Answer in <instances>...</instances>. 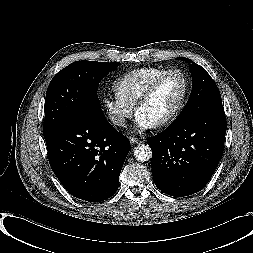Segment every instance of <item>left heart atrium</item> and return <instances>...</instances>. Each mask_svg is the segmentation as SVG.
Here are the masks:
<instances>
[{
  "label": "left heart atrium",
  "instance_id": "1",
  "mask_svg": "<svg viewBox=\"0 0 253 253\" xmlns=\"http://www.w3.org/2000/svg\"><path fill=\"white\" fill-rule=\"evenodd\" d=\"M135 125L139 132H144L152 128L155 124L144 115L138 113L135 118Z\"/></svg>",
  "mask_w": 253,
  "mask_h": 253
}]
</instances>
